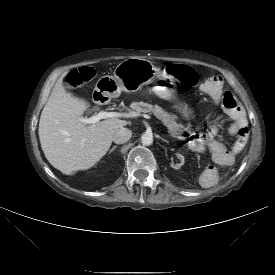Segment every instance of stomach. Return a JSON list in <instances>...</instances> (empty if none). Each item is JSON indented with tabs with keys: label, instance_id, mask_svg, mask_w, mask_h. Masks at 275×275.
Returning a JSON list of instances; mask_svg holds the SVG:
<instances>
[{
	"label": "stomach",
	"instance_id": "obj_1",
	"mask_svg": "<svg viewBox=\"0 0 275 275\" xmlns=\"http://www.w3.org/2000/svg\"><path fill=\"white\" fill-rule=\"evenodd\" d=\"M158 78V85L152 92L160 99L175 103L174 107L185 117L190 116L191 111L187 105L178 102L176 96L175 79L172 75L159 73L158 69L148 60L129 58L122 61L114 69L113 76L101 77L95 86L109 98L117 97L122 91L135 92L143 85L149 84Z\"/></svg>",
	"mask_w": 275,
	"mask_h": 275
}]
</instances>
